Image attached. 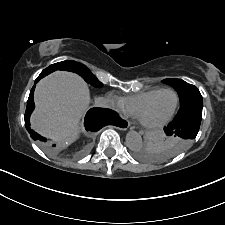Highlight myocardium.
Returning <instances> with one entry per match:
<instances>
[{"instance_id": "1", "label": "myocardium", "mask_w": 225, "mask_h": 225, "mask_svg": "<svg viewBox=\"0 0 225 225\" xmlns=\"http://www.w3.org/2000/svg\"><path fill=\"white\" fill-rule=\"evenodd\" d=\"M164 92H172L175 94L176 96V104L175 107L172 111V113L169 115L168 118H166L165 120H163L162 122L156 123V124H147L144 120V114L145 112L148 110L149 106L152 104V102L162 93ZM180 106V96L179 93L172 88H162L160 89L157 93H155L144 105L143 107L140 109L139 113H138V120L139 123L141 124L142 127H144L145 129L148 130H156V129H161L165 126H167L175 117L178 109Z\"/></svg>"}]
</instances>
